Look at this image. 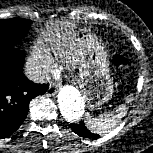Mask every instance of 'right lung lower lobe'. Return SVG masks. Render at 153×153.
Wrapping results in <instances>:
<instances>
[{
    "mask_svg": "<svg viewBox=\"0 0 153 153\" xmlns=\"http://www.w3.org/2000/svg\"><path fill=\"white\" fill-rule=\"evenodd\" d=\"M25 54L15 46L0 45V139L10 136L24 122L30 101L43 95L46 84L23 75Z\"/></svg>",
    "mask_w": 153,
    "mask_h": 153,
    "instance_id": "1",
    "label": "right lung lower lobe"
}]
</instances>
